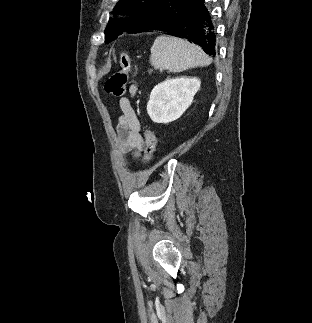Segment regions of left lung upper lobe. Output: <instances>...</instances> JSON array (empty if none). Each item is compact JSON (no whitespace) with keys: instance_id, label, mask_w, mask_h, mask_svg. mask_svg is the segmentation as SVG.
<instances>
[{"instance_id":"1","label":"left lung upper lobe","mask_w":312,"mask_h":323,"mask_svg":"<svg viewBox=\"0 0 312 323\" xmlns=\"http://www.w3.org/2000/svg\"><path fill=\"white\" fill-rule=\"evenodd\" d=\"M174 0H119L113 13L132 14L125 20L110 19L105 29V41L108 42L123 31L139 33L152 30L170 12V5Z\"/></svg>"}]
</instances>
